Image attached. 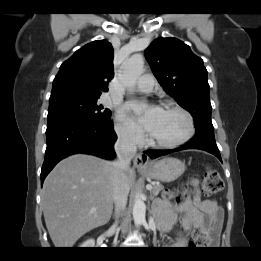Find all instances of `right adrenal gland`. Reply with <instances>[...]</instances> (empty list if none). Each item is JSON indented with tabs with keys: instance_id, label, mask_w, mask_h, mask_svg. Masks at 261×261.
Wrapping results in <instances>:
<instances>
[{
	"instance_id": "obj_1",
	"label": "right adrenal gland",
	"mask_w": 261,
	"mask_h": 261,
	"mask_svg": "<svg viewBox=\"0 0 261 261\" xmlns=\"http://www.w3.org/2000/svg\"><path fill=\"white\" fill-rule=\"evenodd\" d=\"M117 217V211H115V213L113 214V218Z\"/></svg>"
}]
</instances>
